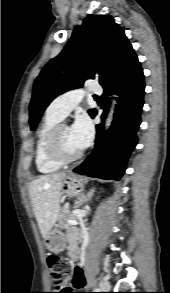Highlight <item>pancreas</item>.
<instances>
[{"instance_id": "obj_1", "label": "pancreas", "mask_w": 170, "mask_h": 293, "mask_svg": "<svg viewBox=\"0 0 170 293\" xmlns=\"http://www.w3.org/2000/svg\"><path fill=\"white\" fill-rule=\"evenodd\" d=\"M70 219H74V217L70 214L68 208H62L58 214L57 227L61 230L68 229L70 225L67 223V221Z\"/></svg>"}]
</instances>
